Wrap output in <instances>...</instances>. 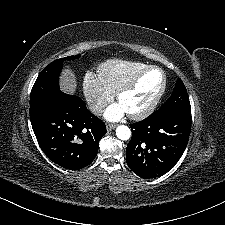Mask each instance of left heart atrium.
<instances>
[{
  "instance_id": "1",
  "label": "left heart atrium",
  "mask_w": 225,
  "mask_h": 225,
  "mask_svg": "<svg viewBox=\"0 0 225 225\" xmlns=\"http://www.w3.org/2000/svg\"><path fill=\"white\" fill-rule=\"evenodd\" d=\"M126 111L120 104L110 105L105 111V117L110 121L119 120L123 117Z\"/></svg>"
}]
</instances>
